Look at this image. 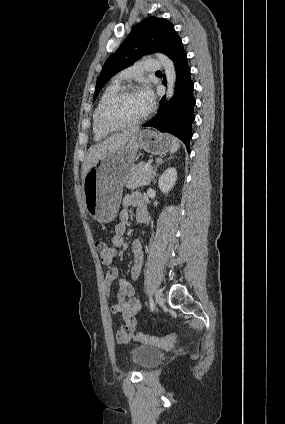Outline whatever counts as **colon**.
Instances as JSON below:
<instances>
[{
	"instance_id": "obj_1",
	"label": "colon",
	"mask_w": 285,
	"mask_h": 424,
	"mask_svg": "<svg viewBox=\"0 0 285 424\" xmlns=\"http://www.w3.org/2000/svg\"><path fill=\"white\" fill-rule=\"evenodd\" d=\"M97 253L102 264L109 265L115 256V249L104 242L96 243ZM135 339L143 343L158 344L162 346L172 345L177 342V335L171 334L166 337L158 338L143 334L141 332L135 334Z\"/></svg>"
}]
</instances>
